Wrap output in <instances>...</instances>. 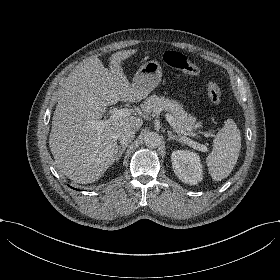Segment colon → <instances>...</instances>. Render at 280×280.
Wrapping results in <instances>:
<instances>
[{
  "instance_id": "5ec220e1",
  "label": "colon",
  "mask_w": 280,
  "mask_h": 280,
  "mask_svg": "<svg viewBox=\"0 0 280 280\" xmlns=\"http://www.w3.org/2000/svg\"><path fill=\"white\" fill-rule=\"evenodd\" d=\"M163 60L167 64H171L176 69H181L182 71L188 72L191 75H195L199 72L200 66L195 61H190V59L184 54H178L176 51H167L163 55ZM208 96L210 100L219 104L222 101V93L218 85L210 80L207 85Z\"/></svg>"
}]
</instances>
